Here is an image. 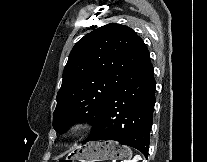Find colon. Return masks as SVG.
Returning <instances> with one entry per match:
<instances>
[{"label": "colon", "mask_w": 207, "mask_h": 162, "mask_svg": "<svg viewBox=\"0 0 207 162\" xmlns=\"http://www.w3.org/2000/svg\"><path fill=\"white\" fill-rule=\"evenodd\" d=\"M59 162H74V161H72V160H61Z\"/></svg>", "instance_id": "5ec220e1"}]
</instances>
